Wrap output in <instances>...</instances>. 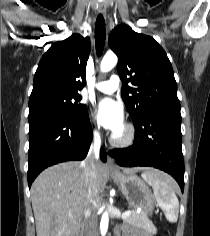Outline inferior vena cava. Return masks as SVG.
<instances>
[{
    "mask_svg": "<svg viewBox=\"0 0 210 236\" xmlns=\"http://www.w3.org/2000/svg\"><path fill=\"white\" fill-rule=\"evenodd\" d=\"M99 157V142L98 139L91 145L90 150L83 165L88 173L89 186L86 199V208L84 210L85 215V236H97V224L98 219L96 215L97 211V178H96V163Z\"/></svg>",
    "mask_w": 210,
    "mask_h": 236,
    "instance_id": "inferior-vena-cava-1",
    "label": "inferior vena cava"
}]
</instances>
